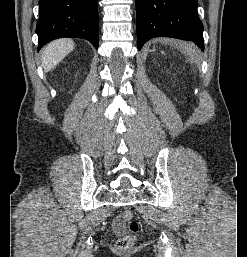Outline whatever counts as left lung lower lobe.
Listing matches in <instances>:
<instances>
[{
  "mask_svg": "<svg viewBox=\"0 0 247 257\" xmlns=\"http://www.w3.org/2000/svg\"><path fill=\"white\" fill-rule=\"evenodd\" d=\"M138 49L154 37L193 41L202 50L203 24L197 0H135Z\"/></svg>",
  "mask_w": 247,
  "mask_h": 257,
  "instance_id": "0a47b994",
  "label": "left lung lower lobe"
}]
</instances>
